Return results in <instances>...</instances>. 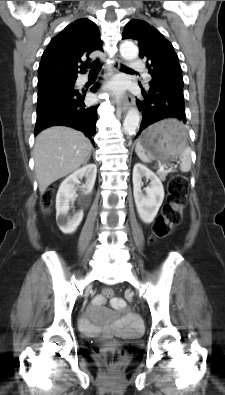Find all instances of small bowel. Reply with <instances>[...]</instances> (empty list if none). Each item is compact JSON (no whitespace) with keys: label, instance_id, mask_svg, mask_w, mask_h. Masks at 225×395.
I'll use <instances>...</instances> for the list:
<instances>
[{"label":"small bowel","instance_id":"c3829d8e","mask_svg":"<svg viewBox=\"0 0 225 395\" xmlns=\"http://www.w3.org/2000/svg\"><path fill=\"white\" fill-rule=\"evenodd\" d=\"M109 301L110 303H113V311L123 312L120 316L114 317L112 323L105 327L107 334L128 336L137 333L142 329V324L139 318L129 311H124L127 305L126 300H121L119 296H110ZM104 303L105 296H97L93 301V307L91 311L94 314H102L105 317L110 318L112 317V313L102 310ZM81 328L88 335H94L99 331V326L91 323L87 317L82 319Z\"/></svg>","mask_w":225,"mask_h":395}]
</instances>
